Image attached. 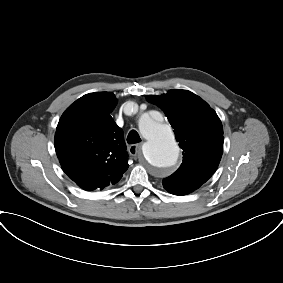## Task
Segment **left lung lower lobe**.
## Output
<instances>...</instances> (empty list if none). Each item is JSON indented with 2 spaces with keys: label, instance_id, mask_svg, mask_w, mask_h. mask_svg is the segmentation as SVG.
<instances>
[{
  "label": "left lung lower lobe",
  "instance_id": "obj_1",
  "mask_svg": "<svg viewBox=\"0 0 283 283\" xmlns=\"http://www.w3.org/2000/svg\"><path fill=\"white\" fill-rule=\"evenodd\" d=\"M190 192H183V191H177V192H173L172 194H175V195H186Z\"/></svg>",
  "mask_w": 283,
  "mask_h": 283
}]
</instances>
